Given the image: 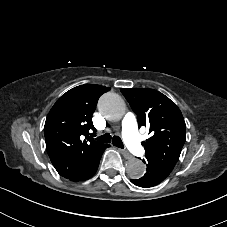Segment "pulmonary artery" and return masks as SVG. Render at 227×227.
<instances>
[{"label": "pulmonary artery", "instance_id": "e3ab8cb5", "mask_svg": "<svg viewBox=\"0 0 227 227\" xmlns=\"http://www.w3.org/2000/svg\"><path fill=\"white\" fill-rule=\"evenodd\" d=\"M123 144L125 150L134 156H140L144 152V146L137 137L136 115L131 111L123 120Z\"/></svg>", "mask_w": 227, "mask_h": 227}]
</instances>
